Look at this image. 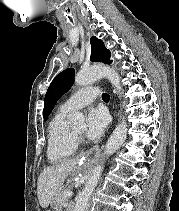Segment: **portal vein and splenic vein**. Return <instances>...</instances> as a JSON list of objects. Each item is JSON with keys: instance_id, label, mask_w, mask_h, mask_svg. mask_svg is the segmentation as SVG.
Listing matches in <instances>:
<instances>
[{"instance_id": "18ae733b", "label": "portal vein and splenic vein", "mask_w": 179, "mask_h": 211, "mask_svg": "<svg viewBox=\"0 0 179 211\" xmlns=\"http://www.w3.org/2000/svg\"><path fill=\"white\" fill-rule=\"evenodd\" d=\"M64 195H66L67 197H71L73 193L71 191H67V192H64Z\"/></svg>"}]
</instances>
